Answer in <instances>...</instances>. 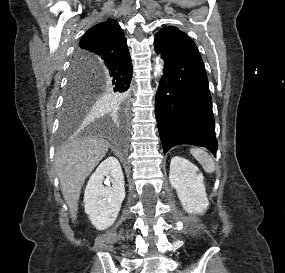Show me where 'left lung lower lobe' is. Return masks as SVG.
<instances>
[{"label":"left lung lower lobe","mask_w":285,"mask_h":273,"mask_svg":"<svg viewBox=\"0 0 285 273\" xmlns=\"http://www.w3.org/2000/svg\"><path fill=\"white\" fill-rule=\"evenodd\" d=\"M154 49L165 66L155 99L164 154L177 144L218 148L212 99L204 63L195 43L176 31L158 33Z\"/></svg>","instance_id":"1"}]
</instances>
